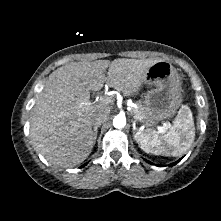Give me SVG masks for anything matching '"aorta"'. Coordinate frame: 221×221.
<instances>
[{
  "instance_id": "762f6f07",
  "label": "aorta",
  "mask_w": 221,
  "mask_h": 221,
  "mask_svg": "<svg viewBox=\"0 0 221 221\" xmlns=\"http://www.w3.org/2000/svg\"><path fill=\"white\" fill-rule=\"evenodd\" d=\"M126 125V118L124 115L118 114L113 119V126L117 129L123 128Z\"/></svg>"
}]
</instances>
